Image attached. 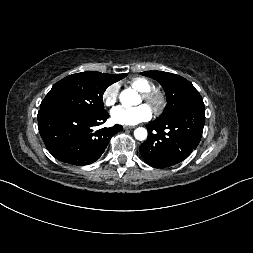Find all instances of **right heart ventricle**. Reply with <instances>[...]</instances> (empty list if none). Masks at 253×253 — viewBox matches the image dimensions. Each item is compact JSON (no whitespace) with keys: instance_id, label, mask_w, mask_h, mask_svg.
Masks as SVG:
<instances>
[{"instance_id":"obj_1","label":"right heart ventricle","mask_w":253,"mask_h":253,"mask_svg":"<svg viewBox=\"0 0 253 253\" xmlns=\"http://www.w3.org/2000/svg\"><path fill=\"white\" fill-rule=\"evenodd\" d=\"M130 85L139 92H147L154 88V84L151 80L145 77H134L129 81Z\"/></svg>"}]
</instances>
